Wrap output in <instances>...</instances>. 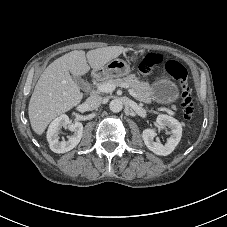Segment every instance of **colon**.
Instances as JSON below:
<instances>
[{
	"label": "colon",
	"mask_w": 227,
	"mask_h": 227,
	"mask_svg": "<svg viewBox=\"0 0 227 227\" xmlns=\"http://www.w3.org/2000/svg\"><path fill=\"white\" fill-rule=\"evenodd\" d=\"M163 57L157 53H148L140 62L139 70L143 75L151 74L162 63ZM167 73L177 82L180 89V100L185 119L190 120L194 114L192 90L188 83L186 68L175 60H169L165 64Z\"/></svg>",
	"instance_id": "1"
}]
</instances>
